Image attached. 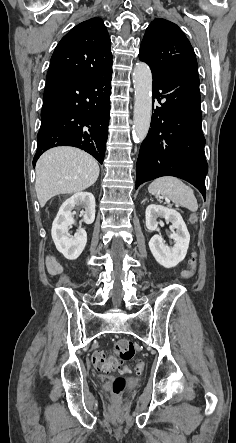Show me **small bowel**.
Here are the masks:
<instances>
[{
	"instance_id": "1",
	"label": "small bowel",
	"mask_w": 236,
	"mask_h": 443,
	"mask_svg": "<svg viewBox=\"0 0 236 443\" xmlns=\"http://www.w3.org/2000/svg\"><path fill=\"white\" fill-rule=\"evenodd\" d=\"M47 269L52 275H59L63 272L62 264L52 255L46 259Z\"/></svg>"
}]
</instances>
